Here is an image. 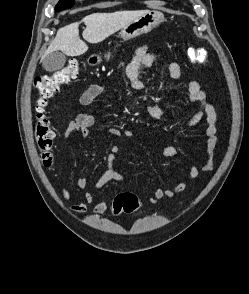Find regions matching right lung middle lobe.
<instances>
[{"mask_svg":"<svg viewBox=\"0 0 249 294\" xmlns=\"http://www.w3.org/2000/svg\"><path fill=\"white\" fill-rule=\"evenodd\" d=\"M74 5V0H60L55 7V11L69 9Z\"/></svg>","mask_w":249,"mask_h":294,"instance_id":"dd1d6c3e","label":"right lung middle lobe"}]
</instances>
